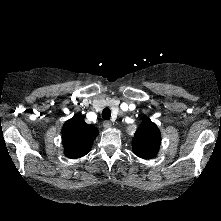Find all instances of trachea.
<instances>
[{"instance_id":"obj_1","label":"trachea","mask_w":221,"mask_h":221,"mask_svg":"<svg viewBox=\"0 0 221 221\" xmlns=\"http://www.w3.org/2000/svg\"><path fill=\"white\" fill-rule=\"evenodd\" d=\"M110 117H111V110L109 108L103 109V111H102V118L104 120H109Z\"/></svg>"}]
</instances>
